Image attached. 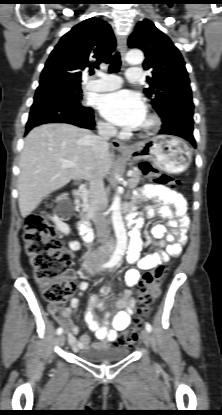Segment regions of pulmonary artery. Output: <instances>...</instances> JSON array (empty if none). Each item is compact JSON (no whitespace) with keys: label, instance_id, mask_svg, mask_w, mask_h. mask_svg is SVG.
<instances>
[{"label":"pulmonary artery","instance_id":"obj_1","mask_svg":"<svg viewBox=\"0 0 222 415\" xmlns=\"http://www.w3.org/2000/svg\"><path fill=\"white\" fill-rule=\"evenodd\" d=\"M99 79L90 81L86 84L85 89L93 92H106L117 89L121 86V80L117 76L98 73ZM141 77V69L132 67L126 72V78L129 82H138Z\"/></svg>","mask_w":222,"mask_h":415}]
</instances>
